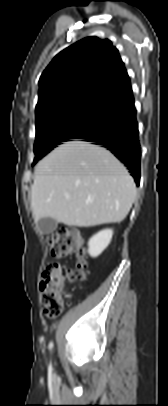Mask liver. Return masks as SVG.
Instances as JSON below:
<instances>
[{
	"mask_svg": "<svg viewBox=\"0 0 168 406\" xmlns=\"http://www.w3.org/2000/svg\"><path fill=\"white\" fill-rule=\"evenodd\" d=\"M135 197L133 178L111 152L68 141L37 164L31 206L35 221L89 227L123 221Z\"/></svg>",
	"mask_w": 168,
	"mask_h": 406,
	"instance_id": "obj_1",
	"label": "liver"
}]
</instances>
